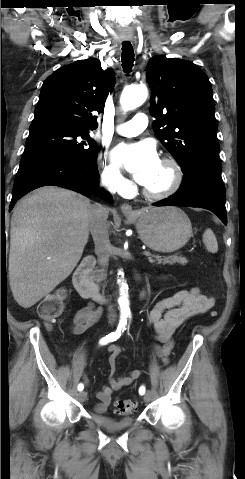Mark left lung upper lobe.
Returning <instances> with one entry per match:
<instances>
[{
  "mask_svg": "<svg viewBox=\"0 0 245 479\" xmlns=\"http://www.w3.org/2000/svg\"><path fill=\"white\" fill-rule=\"evenodd\" d=\"M146 75L153 130L182 171L198 160L218 158L213 91L205 72L187 60L155 56Z\"/></svg>",
  "mask_w": 245,
  "mask_h": 479,
  "instance_id": "5c2ea615",
  "label": "left lung upper lobe"
}]
</instances>
